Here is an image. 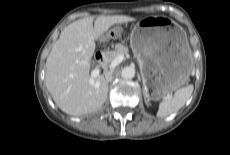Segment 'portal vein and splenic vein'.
I'll return each instance as SVG.
<instances>
[{
    "mask_svg": "<svg viewBox=\"0 0 230 155\" xmlns=\"http://www.w3.org/2000/svg\"><path fill=\"white\" fill-rule=\"evenodd\" d=\"M124 59V55L120 54L118 55L116 58H114L109 65L110 69H114L116 66H118ZM78 63L84 64V65H90V63L86 62V61H78ZM100 74V70L98 68H95L92 72H91V77H96Z\"/></svg>",
    "mask_w": 230,
    "mask_h": 155,
    "instance_id": "obj_1",
    "label": "portal vein and splenic vein"
}]
</instances>
